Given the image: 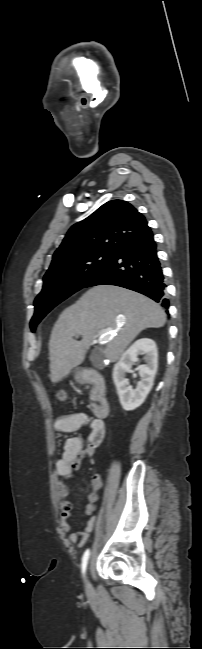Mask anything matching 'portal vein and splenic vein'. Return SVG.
<instances>
[{
  "mask_svg": "<svg viewBox=\"0 0 202 649\" xmlns=\"http://www.w3.org/2000/svg\"><path fill=\"white\" fill-rule=\"evenodd\" d=\"M111 333H112V332H103V333H100V334H99V338H98V343H99V344H105V343H107L108 340H109V337H110Z\"/></svg>",
  "mask_w": 202,
  "mask_h": 649,
  "instance_id": "1",
  "label": "portal vein and splenic vein"
}]
</instances>
